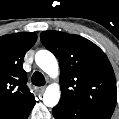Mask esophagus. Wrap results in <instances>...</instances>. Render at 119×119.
<instances>
[{
    "mask_svg": "<svg viewBox=\"0 0 119 119\" xmlns=\"http://www.w3.org/2000/svg\"><path fill=\"white\" fill-rule=\"evenodd\" d=\"M44 91H45V87H44V86L37 88V92H38L39 94H42Z\"/></svg>",
    "mask_w": 119,
    "mask_h": 119,
    "instance_id": "obj_1",
    "label": "esophagus"
}]
</instances>
